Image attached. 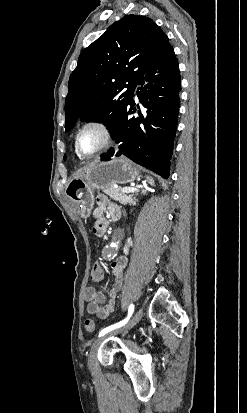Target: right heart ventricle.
<instances>
[{"label": "right heart ventricle", "mask_w": 247, "mask_h": 413, "mask_svg": "<svg viewBox=\"0 0 247 413\" xmlns=\"http://www.w3.org/2000/svg\"><path fill=\"white\" fill-rule=\"evenodd\" d=\"M77 156H78L80 159H82L81 156L78 155V153H77Z\"/></svg>", "instance_id": "1"}]
</instances>
